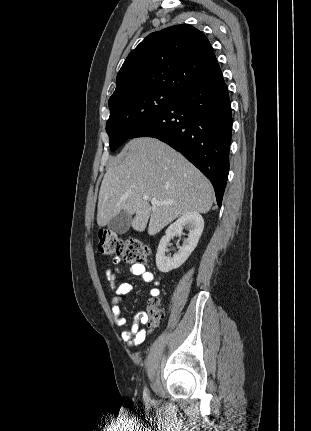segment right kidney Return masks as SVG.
Returning <instances> with one entry per match:
<instances>
[{
    "mask_svg": "<svg viewBox=\"0 0 311 431\" xmlns=\"http://www.w3.org/2000/svg\"><path fill=\"white\" fill-rule=\"evenodd\" d=\"M183 225L189 227L188 237L184 239L183 245L179 247L178 251L174 255H165L166 247L173 235L179 233L181 235ZM204 219L198 212H187L183 216L178 217L174 223H171L166 229V235H163L160 239L156 253V265L160 271L167 273L171 269L180 267L187 257H189L191 251L196 247L199 237L203 231Z\"/></svg>",
    "mask_w": 311,
    "mask_h": 431,
    "instance_id": "1",
    "label": "right kidney"
}]
</instances>
